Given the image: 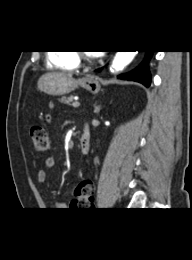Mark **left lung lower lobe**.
<instances>
[{"instance_id":"0a47b994","label":"left lung lower lobe","mask_w":192,"mask_h":260,"mask_svg":"<svg viewBox=\"0 0 192 260\" xmlns=\"http://www.w3.org/2000/svg\"><path fill=\"white\" fill-rule=\"evenodd\" d=\"M152 52L153 51H146L145 59L135 70L127 74L119 75L118 78L137 81L146 87H149L151 83V75L149 72L148 62L152 56Z\"/></svg>"}]
</instances>
